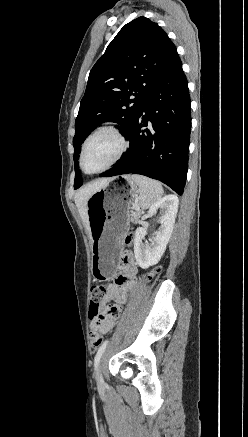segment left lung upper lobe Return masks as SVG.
Returning <instances> with one entry per match:
<instances>
[{
    "label": "left lung upper lobe",
    "mask_w": 248,
    "mask_h": 437,
    "mask_svg": "<svg viewBox=\"0 0 248 437\" xmlns=\"http://www.w3.org/2000/svg\"><path fill=\"white\" fill-rule=\"evenodd\" d=\"M175 45L157 23L139 17L127 23L90 71L75 121V183L82 185L78 158L84 139L105 121L119 123L126 138L143 101L177 59Z\"/></svg>",
    "instance_id": "1"
}]
</instances>
